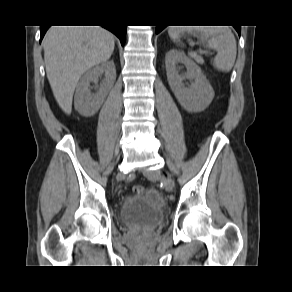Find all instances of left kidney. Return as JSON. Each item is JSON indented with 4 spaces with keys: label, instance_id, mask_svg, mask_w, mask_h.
I'll use <instances>...</instances> for the list:
<instances>
[{
    "label": "left kidney",
    "instance_id": "1",
    "mask_svg": "<svg viewBox=\"0 0 292 292\" xmlns=\"http://www.w3.org/2000/svg\"><path fill=\"white\" fill-rule=\"evenodd\" d=\"M184 64L187 72L179 75L177 66ZM165 66L168 83L181 106L188 112L204 111L214 98V90L202 73L201 68L184 53L172 49L167 52ZM193 82L185 87L183 80Z\"/></svg>",
    "mask_w": 292,
    "mask_h": 292
}]
</instances>
